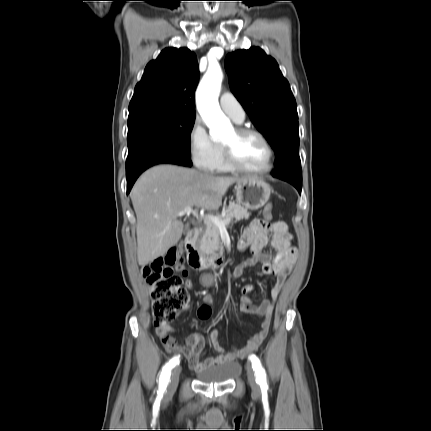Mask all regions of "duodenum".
I'll list each match as a JSON object with an SVG mask.
<instances>
[{"label":"duodenum","instance_id":"obj_1","mask_svg":"<svg viewBox=\"0 0 431 431\" xmlns=\"http://www.w3.org/2000/svg\"><path fill=\"white\" fill-rule=\"evenodd\" d=\"M198 235V229L194 228L185 238V249L189 265L196 270L221 267L223 259L219 254L206 255L197 248Z\"/></svg>","mask_w":431,"mask_h":431}]
</instances>
